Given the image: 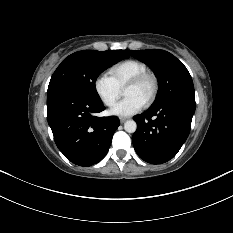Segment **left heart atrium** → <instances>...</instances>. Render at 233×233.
<instances>
[{
	"label": "left heart atrium",
	"mask_w": 233,
	"mask_h": 233,
	"mask_svg": "<svg viewBox=\"0 0 233 233\" xmlns=\"http://www.w3.org/2000/svg\"><path fill=\"white\" fill-rule=\"evenodd\" d=\"M145 103L135 96H127L118 102L111 110L112 115L120 117L132 116L142 110Z\"/></svg>",
	"instance_id": "left-heart-atrium-1"
}]
</instances>
